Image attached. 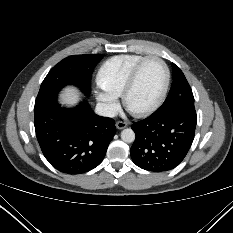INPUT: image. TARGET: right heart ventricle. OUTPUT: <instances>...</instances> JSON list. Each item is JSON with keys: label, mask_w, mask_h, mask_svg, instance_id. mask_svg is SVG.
Returning a JSON list of instances; mask_svg holds the SVG:
<instances>
[{"label": "right heart ventricle", "mask_w": 233, "mask_h": 233, "mask_svg": "<svg viewBox=\"0 0 233 233\" xmlns=\"http://www.w3.org/2000/svg\"><path fill=\"white\" fill-rule=\"evenodd\" d=\"M145 56L122 54L106 60L97 73V83L105 91L121 95L133 67Z\"/></svg>", "instance_id": "right-heart-ventricle-1"}]
</instances>
